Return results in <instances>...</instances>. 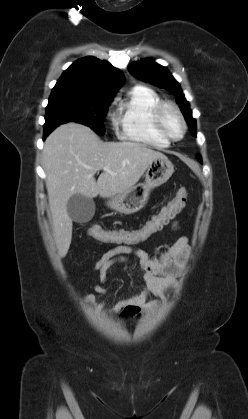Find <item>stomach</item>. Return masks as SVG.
Returning a JSON list of instances; mask_svg holds the SVG:
<instances>
[{
    "instance_id": "1",
    "label": "stomach",
    "mask_w": 248,
    "mask_h": 419,
    "mask_svg": "<svg viewBox=\"0 0 248 419\" xmlns=\"http://www.w3.org/2000/svg\"><path fill=\"white\" fill-rule=\"evenodd\" d=\"M174 166L167 158H156L148 166L145 182L112 197L107 205L122 214H133L141 210L149 199L153 188L165 183L173 174Z\"/></svg>"
}]
</instances>
